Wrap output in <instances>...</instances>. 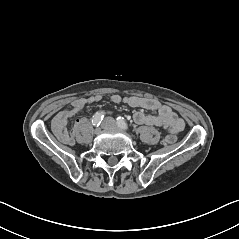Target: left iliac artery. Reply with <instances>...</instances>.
I'll return each mask as SVG.
<instances>
[{
  "label": "left iliac artery",
  "instance_id": "obj_1",
  "mask_svg": "<svg viewBox=\"0 0 239 239\" xmlns=\"http://www.w3.org/2000/svg\"><path fill=\"white\" fill-rule=\"evenodd\" d=\"M117 125L121 129H124V130L128 129V125H127V123H126V121H125V119L123 117H118L117 118Z\"/></svg>",
  "mask_w": 239,
  "mask_h": 239
}]
</instances>
